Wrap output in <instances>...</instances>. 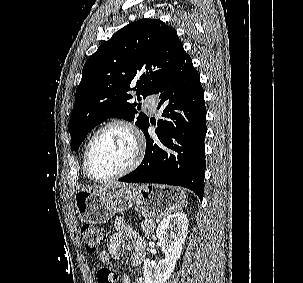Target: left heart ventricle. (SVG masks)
Here are the masks:
<instances>
[{"mask_svg":"<svg viewBox=\"0 0 303 283\" xmlns=\"http://www.w3.org/2000/svg\"><path fill=\"white\" fill-rule=\"evenodd\" d=\"M135 144L123 128L110 127L95 140L90 152V166L97 177L110 176L124 169L132 161Z\"/></svg>","mask_w":303,"mask_h":283,"instance_id":"b2bd125f","label":"left heart ventricle"}]
</instances>
